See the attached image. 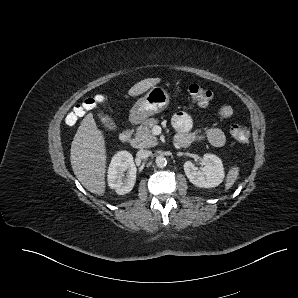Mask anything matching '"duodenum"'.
<instances>
[{
    "mask_svg": "<svg viewBox=\"0 0 298 298\" xmlns=\"http://www.w3.org/2000/svg\"><path fill=\"white\" fill-rule=\"evenodd\" d=\"M119 139L123 143H131L133 140V135L131 130H123L120 135ZM195 138L188 133L179 132L175 136V143L179 147H188L194 142Z\"/></svg>",
    "mask_w": 298,
    "mask_h": 298,
    "instance_id": "duodenum-1",
    "label": "duodenum"
}]
</instances>
